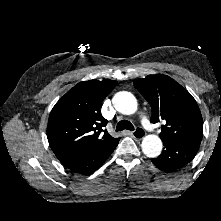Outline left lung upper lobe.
Wrapping results in <instances>:
<instances>
[{"instance_id": "obj_1", "label": "left lung upper lobe", "mask_w": 221, "mask_h": 221, "mask_svg": "<svg viewBox=\"0 0 221 221\" xmlns=\"http://www.w3.org/2000/svg\"><path fill=\"white\" fill-rule=\"evenodd\" d=\"M135 87L152 108V123L163 122V142L202 139L203 119L192 95L169 76L157 74L137 79Z\"/></svg>"}]
</instances>
